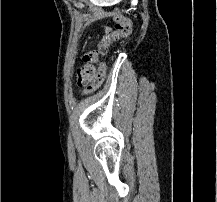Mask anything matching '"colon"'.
<instances>
[{"mask_svg": "<svg viewBox=\"0 0 217 202\" xmlns=\"http://www.w3.org/2000/svg\"><path fill=\"white\" fill-rule=\"evenodd\" d=\"M130 33V19L118 14L114 19L113 26L105 29V32L97 38L94 47L83 52L81 56L83 64L77 69V82L79 86L85 88V94L96 92L104 81L106 67L105 63L100 60L101 57L106 55L113 42L125 39ZM94 70H97L95 81L88 87L87 80L94 78Z\"/></svg>", "mask_w": 217, "mask_h": 202, "instance_id": "colon-1", "label": "colon"}]
</instances>
